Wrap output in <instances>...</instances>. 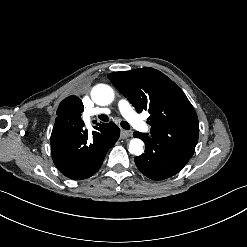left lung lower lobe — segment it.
Masks as SVG:
<instances>
[{
	"instance_id": "0a47b994",
	"label": "left lung lower lobe",
	"mask_w": 247,
	"mask_h": 247,
	"mask_svg": "<svg viewBox=\"0 0 247 247\" xmlns=\"http://www.w3.org/2000/svg\"><path fill=\"white\" fill-rule=\"evenodd\" d=\"M133 135L142 139L146 146L145 153L135 157L136 166L150 179L163 180L177 174L191 158L166 145L159 144L145 133L136 131Z\"/></svg>"
}]
</instances>
